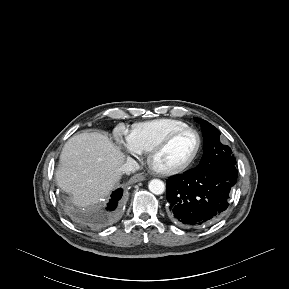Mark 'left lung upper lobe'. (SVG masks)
Here are the masks:
<instances>
[{"label": "left lung upper lobe", "instance_id": "obj_1", "mask_svg": "<svg viewBox=\"0 0 289 289\" xmlns=\"http://www.w3.org/2000/svg\"><path fill=\"white\" fill-rule=\"evenodd\" d=\"M194 119L201 125L204 138V153L197 168H206L220 164L235 165L236 160L235 157L231 155L230 147L220 142L219 130L203 119Z\"/></svg>", "mask_w": 289, "mask_h": 289}]
</instances>
